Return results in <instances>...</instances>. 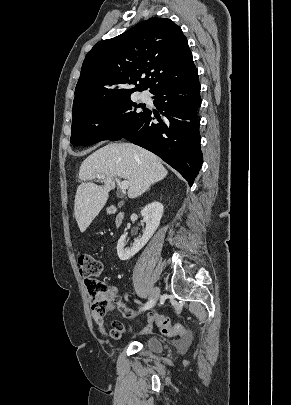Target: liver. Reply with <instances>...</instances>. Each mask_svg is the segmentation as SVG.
Listing matches in <instances>:
<instances>
[{
	"label": "liver",
	"instance_id": "liver-1",
	"mask_svg": "<svg viewBox=\"0 0 291 405\" xmlns=\"http://www.w3.org/2000/svg\"><path fill=\"white\" fill-rule=\"evenodd\" d=\"M166 168L153 153L130 143H111L89 155L81 164L74 204V215L84 232L106 204L109 192L115 187L114 177L129 182L128 197L137 198L149 187L164 179ZM103 175L104 185L88 182Z\"/></svg>",
	"mask_w": 291,
	"mask_h": 405
}]
</instances>
